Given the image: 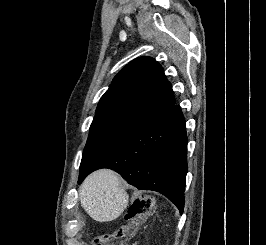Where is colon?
<instances>
[{
    "instance_id": "colon-1",
    "label": "colon",
    "mask_w": 266,
    "mask_h": 245,
    "mask_svg": "<svg viewBox=\"0 0 266 245\" xmlns=\"http://www.w3.org/2000/svg\"><path fill=\"white\" fill-rule=\"evenodd\" d=\"M153 208V200L143 196L132 201L125 213V223L114 232L97 236L93 245H133V237Z\"/></svg>"
}]
</instances>
